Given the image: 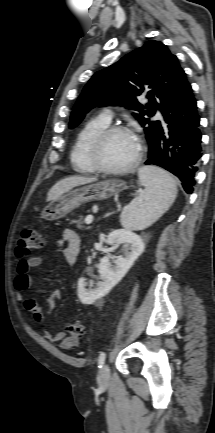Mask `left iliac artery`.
<instances>
[{
    "instance_id": "1",
    "label": "left iliac artery",
    "mask_w": 215,
    "mask_h": 433,
    "mask_svg": "<svg viewBox=\"0 0 215 433\" xmlns=\"http://www.w3.org/2000/svg\"><path fill=\"white\" fill-rule=\"evenodd\" d=\"M105 359H106V354H105V352H102V353L99 355V357H98V367H99V368L102 367V365H103Z\"/></svg>"
}]
</instances>
